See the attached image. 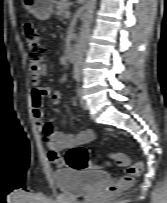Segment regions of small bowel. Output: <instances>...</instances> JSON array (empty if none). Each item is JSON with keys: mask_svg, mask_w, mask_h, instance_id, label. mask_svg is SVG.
<instances>
[{"mask_svg": "<svg viewBox=\"0 0 167 203\" xmlns=\"http://www.w3.org/2000/svg\"><path fill=\"white\" fill-rule=\"evenodd\" d=\"M47 74L48 67L46 64H41L38 69L30 67V78L33 84L31 90V104L33 116L48 148V159L56 166L62 167L65 165V159L61 153L72 147L82 146L92 142L95 139V132L86 128H81L78 133L54 131V127L60 117L57 116L52 121L47 122L45 120L42 104L45 97H50L51 104L54 107H58L61 102V95L57 90L50 87L38 86L40 77L46 76ZM72 105L78 107L76 99L72 100Z\"/></svg>", "mask_w": 167, "mask_h": 203, "instance_id": "c3829d8e", "label": "small bowel"}]
</instances>
